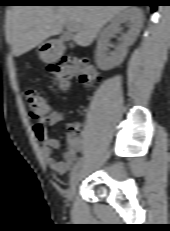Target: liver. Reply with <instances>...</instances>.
Here are the masks:
<instances>
[{
    "mask_svg": "<svg viewBox=\"0 0 170 231\" xmlns=\"http://www.w3.org/2000/svg\"><path fill=\"white\" fill-rule=\"evenodd\" d=\"M127 8L122 5L13 6L6 14V38L14 56L19 57L47 38L59 35L69 25L76 32L77 45L87 47L108 21Z\"/></svg>",
    "mask_w": 170,
    "mask_h": 231,
    "instance_id": "6515ba94",
    "label": "liver"
}]
</instances>
